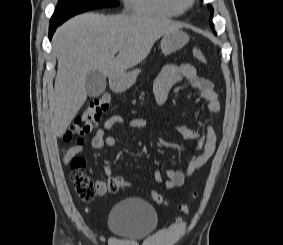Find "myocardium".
<instances>
[{
    "label": "myocardium",
    "mask_w": 283,
    "mask_h": 245,
    "mask_svg": "<svg viewBox=\"0 0 283 245\" xmlns=\"http://www.w3.org/2000/svg\"><path fill=\"white\" fill-rule=\"evenodd\" d=\"M194 0H182L184 10L190 8L193 4Z\"/></svg>",
    "instance_id": "1"
}]
</instances>
